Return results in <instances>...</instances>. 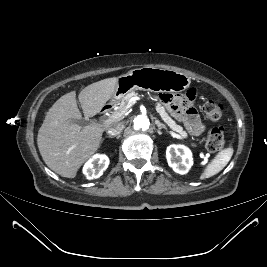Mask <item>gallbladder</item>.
<instances>
[{"instance_id": "1", "label": "gallbladder", "mask_w": 267, "mask_h": 267, "mask_svg": "<svg viewBox=\"0 0 267 267\" xmlns=\"http://www.w3.org/2000/svg\"><path fill=\"white\" fill-rule=\"evenodd\" d=\"M72 123H76V124H78V125H80V126H85L86 125V120L85 119H78V120H76V119H71L70 120Z\"/></svg>"}]
</instances>
